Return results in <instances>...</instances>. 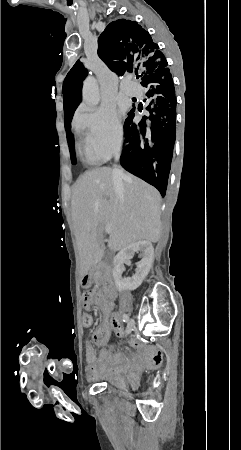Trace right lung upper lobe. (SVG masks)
Listing matches in <instances>:
<instances>
[{"label": "right lung upper lobe", "instance_id": "1", "mask_svg": "<svg viewBox=\"0 0 241 450\" xmlns=\"http://www.w3.org/2000/svg\"><path fill=\"white\" fill-rule=\"evenodd\" d=\"M98 56L119 76L167 63L148 31L126 19L113 21L105 28L98 38ZM69 73L86 77L87 70L77 61Z\"/></svg>", "mask_w": 241, "mask_h": 450}]
</instances>
